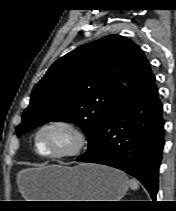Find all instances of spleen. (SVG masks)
<instances>
[{"instance_id": "1", "label": "spleen", "mask_w": 176, "mask_h": 211, "mask_svg": "<svg viewBox=\"0 0 176 211\" xmlns=\"http://www.w3.org/2000/svg\"><path fill=\"white\" fill-rule=\"evenodd\" d=\"M129 185H130L132 190H137L139 188V185H138L137 181L133 180V179H131L129 181Z\"/></svg>"}]
</instances>
